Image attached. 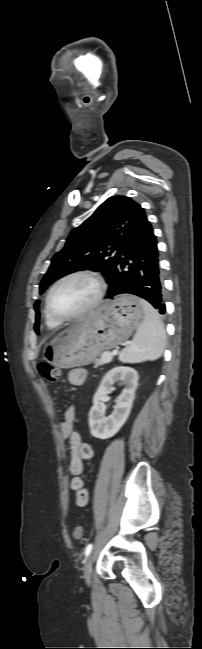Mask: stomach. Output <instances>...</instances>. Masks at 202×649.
I'll return each mask as SVG.
<instances>
[{
  "label": "stomach",
  "mask_w": 202,
  "mask_h": 649,
  "mask_svg": "<svg viewBox=\"0 0 202 649\" xmlns=\"http://www.w3.org/2000/svg\"><path fill=\"white\" fill-rule=\"evenodd\" d=\"M142 300L119 295L57 334L43 350V360L58 367L87 365L97 356L125 341L141 324Z\"/></svg>",
  "instance_id": "stomach-1"
}]
</instances>
